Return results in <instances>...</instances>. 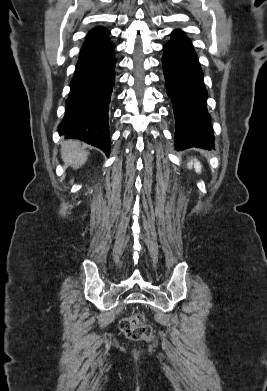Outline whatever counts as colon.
I'll return each mask as SVG.
<instances>
[{"label": "colon", "mask_w": 267, "mask_h": 391, "mask_svg": "<svg viewBox=\"0 0 267 391\" xmlns=\"http://www.w3.org/2000/svg\"><path fill=\"white\" fill-rule=\"evenodd\" d=\"M121 331L132 340H150L153 337V329L144 324L141 314L130 315L120 322Z\"/></svg>", "instance_id": "5ec220e1"}]
</instances>
